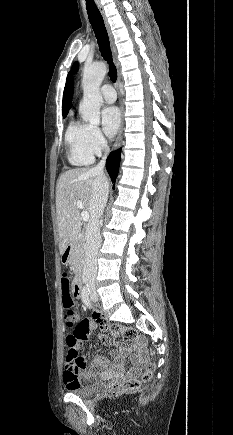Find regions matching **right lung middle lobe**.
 <instances>
[{"label":"right lung middle lobe","mask_w":233,"mask_h":435,"mask_svg":"<svg viewBox=\"0 0 233 435\" xmlns=\"http://www.w3.org/2000/svg\"><path fill=\"white\" fill-rule=\"evenodd\" d=\"M66 117V115H63V118H65Z\"/></svg>","instance_id":"obj_1"}]
</instances>
